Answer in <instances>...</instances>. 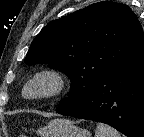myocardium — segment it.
<instances>
[{
  "label": "myocardium",
  "mask_w": 144,
  "mask_h": 137,
  "mask_svg": "<svg viewBox=\"0 0 144 137\" xmlns=\"http://www.w3.org/2000/svg\"><path fill=\"white\" fill-rule=\"evenodd\" d=\"M39 81L49 83V89L41 93H30L29 89ZM66 88L64 75L56 69H42L35 72L26 81L23 87V96L32 100H49L58 97Z\"/></svg>",
  "instance_id": "f54148a6"
}]
</instances>
